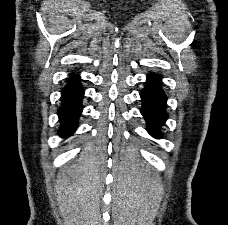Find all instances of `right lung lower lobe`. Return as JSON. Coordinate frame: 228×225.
<instances>
[{
  "label": "right lung lower lobe",
  "instance_id": "obj_1",
  "mask_svg": "<svg viewBox=\"0 0 228 225\" xmlns=\"http://www.w3.org/2000/svg\"><path fill=\"white\" fill-rule=\"evenodd\" d=\"M83 95L84 90L80 85V79L77 75H73L62 90V105L58 109L61 123L58 132L62 137H68L76 130L82 111Z\"/></svg>",
  "mask_w": 228,
  "mask_h": 225
}]
</instances>
